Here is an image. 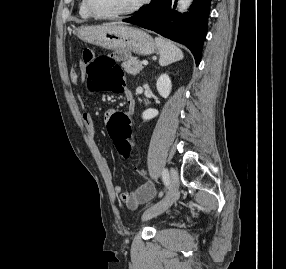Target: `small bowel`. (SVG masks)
I'll use <instances>...</instances> for the list:
<instances>
[{
	"label": "small bowel",
	"instance_id": "obj_1",
	"mask_svg": "<svg viewBox=\"0 0 286 269\" xmlns=\"http://www.w3.org/2000/svg\"><path fill=\"white\" fill-rule=\"evenodd\" d=\"M86 63V62H85ZM81 72L84 69V64H81ZM79 73L76 70H71L70 72V79L72 81L73 84H77L79 81ZM120 92H122L125 96L126 99V105H127V111H131L133 110L134 107V99L132 97V93L130 92V90H128L127 88H122L120 90ZM114 109L110 108L107 112L103 111L102 112V116L101 119L105 120L106 122L109 121L110 117L113 115ZM82 118V122L85 126V128L88 131H93L94 130V123H93V118L91 116V114L89 112L84 111L81 115ZM130 129V126H129ZM130 139H131V134H130ZM132 145L134 144V141L131 139ZM140 158L133 164V168L137 169L139 164H140ZM110 176V174H109ZM113 192L115 195H117L118 197L121 198V200H123L126 204V206L129 209H137L141 204L148 202L149 200H151L154 196H155V189L148 183H145L140 189H138L135 192H132L130 194L125 193L123 191V188L121 185H115L113 187Z\"/></svg>",
	"mask_w": 286,
	"mask_h": 269
}]
</instances>
